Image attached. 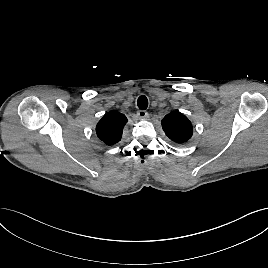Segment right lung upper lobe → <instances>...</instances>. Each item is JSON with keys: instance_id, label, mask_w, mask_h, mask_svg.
<instances>
[{"instance_id": "obj_1", "label": "right lung upper lobe", "mask_w": 268, "mask_h": 268, "mask_svg": "<svg viewBox=\"0 0 268 268\" xmlns=\"http://www.w3.org/2000/svg\"><path fill=\"white\" fill-rule=\"evenodd\" d=\"M127 121L124 114L117 111H110L98 122L96 134L106 145H114L121 140L123 128Z\"/></svg>"}]
</instances>
